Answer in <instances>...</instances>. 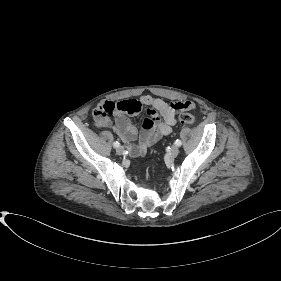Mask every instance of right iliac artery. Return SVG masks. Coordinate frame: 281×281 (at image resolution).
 <instances>
[{"label": "right iliac artery", "mask_w": 281, "mask_h": 281, "mask_svg": "<svg viewBox=\"0 0 281 281\" xmlns=\"http://www.w3.org/2000/svg\"><path fill=\"white\" fill-rule=\"evenodd\" d=\"M113 146H114L115 148H117V147L120 146V143H119L118 141H115V142L113 143Z\"/></svg>", "instance_id": "right-iliac-artery-1"}]
</instances>
